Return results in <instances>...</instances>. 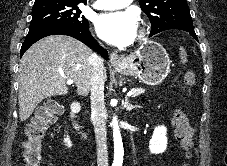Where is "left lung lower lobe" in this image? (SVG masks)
<instances>
[{
  "instance_id": "obj_1",
  "label": "left lung lower lobe",
  "mask_w": 227,
  "mask_h": 166,
  "mask_svg": "<svg viewBox=\"0 0 227 166\" xmlns=\"http://www.w3.org/2000/svg\"><path fill=\"white\" fill-rule=\"evenodd\" d=\"M184 31L189 32V34L198 41L197 35L195 34L194 28L185 29Z\"/></svg>"
}]
</instances>
